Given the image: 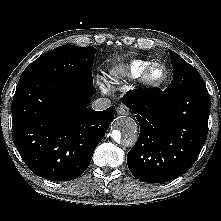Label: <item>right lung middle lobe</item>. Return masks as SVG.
<instances>
[{
  "mask_svg": "<svg viewBox=\"0 0 221 221\" xmlns=\"http://www.w3.org/2000/svg\"><path fill=\"white\" fill-rule=\"evenodd\" d=\"M96 49L62 45L32 62L22 73L27 77L52 78L93 85L92 66Z\"/></svg>",
  "mask_w": 221,
  "mask_h": 221,
  "instance_id": "obj_1",
  "label": "right lung middle lobe"
}]
</instances>
